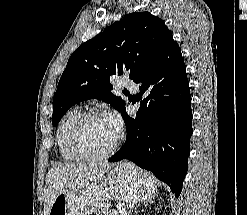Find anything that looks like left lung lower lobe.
<instances>
[{"label":"left lung lower lobe","instance_id":"0a47b994","mask_svg":"<svg viewBox=\"0 0 247 215\" xmlns=\"http://www.w3.org/2000/svg\"><path fill=\"white\" fill-rule=\"evenodd\" d=\"M140 83L137 117L121 113L127 137L110 159H128L151 171L179 197L188 169L192 110L189 82L181 50L173 37L159 57L134 80Z\"/></svg>","mask_w":247,"mask_h":215}]
</instances>
